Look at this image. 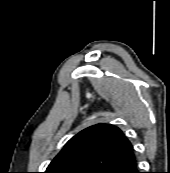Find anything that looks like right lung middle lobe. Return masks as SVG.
Returning <instances> with one entry per match:
<instances>
[{"instance_id":"dd1d6c3e","label":"right lung middle lobe","mask_w":170,"mask_h":173,"mask_svg":"<svg viewBox=\"0 0 170 173\" xmlns=\"http://www.w3.org/2000/svg\"><path fill=\"white\" fill-rule=\"evenodd\" d=\"M61 173H79L78 171H62Z\"/></svg>"}]
</instances>
